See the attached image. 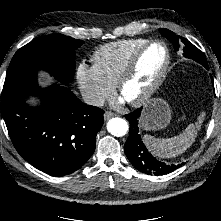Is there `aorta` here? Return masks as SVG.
<instances>
[{
	"instance_id": "1",
	"label": "aorta",
	"mask_w": 221,
	"mask_h": 221,
	"mask_svg": "<svg viewBox=\"0 0 221 221\" xmlns=\"http://www.w3.org/2000/svg\"><path fill=\"white\" fill-rule=\"evenodd\" d=\"M129 129L128 123L122 118H112L107 123V130L110 134L116 137H121L127 134Z\"/></svg>"
}]
</instances>
